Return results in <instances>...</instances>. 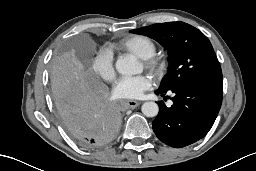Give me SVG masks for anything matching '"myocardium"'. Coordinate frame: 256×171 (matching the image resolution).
Masks as SVG:
<instances>
[{
  "label": "myocardium",
  "mask_w": 256,
  "mask_h": 171,
  "mask_svg": "<svg viewBox=\"0 0 256 171\" xmlns=\"http://www.w3.org/2000/svg\"><path fill=\"white\" fill-rule=\"evenodd\" d=\"M142 62L145 69L153 76L162 75L166 67L164 59L157 54L143 58Z\"/></svg>",
  "instance_id": "obj_1"
}]
</instances>
